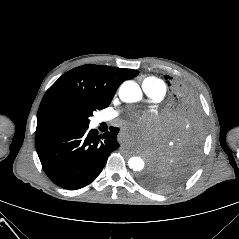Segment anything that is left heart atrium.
<instances>
[{
	"mask_svg": "<svg viewBox=\"0 0 239 239\" xmlns=\"http://www.w3.org/2000/svg\"><path fill=\"white\" fill-rule=\"evenodd\" d=\"M124 127L127 130H131V129H138L141 130L143 132H147L151 126L148 123L146 116L142 115V116H135V119L133 121L127 120L124 122Z\"/></svg>",
	"mask_w": 239,
	"mask_h": 239,
	"instance_id": "39dd6f15",
	"label": "left heart atrium"
}]
</instances>
